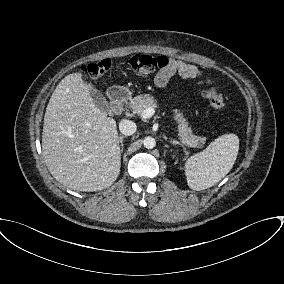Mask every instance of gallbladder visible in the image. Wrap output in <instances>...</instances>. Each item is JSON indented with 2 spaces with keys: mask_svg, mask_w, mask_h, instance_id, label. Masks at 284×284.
I'll return each instance as SVG.
<instances>
[{
  "mask_svg": "<svg viewBox=\"0 0 284 284\" xmlns=\"http://www.w3.org/2000/svg\"><path fill=\"white\" fill-rule=\"evenodd\" d=\"M89 91L96 107L105 111L106 113H109L110 112L109 104L106 98L103 96V94L99 90L91 86L89 87Z\"/></svg>",
  "mask_w": 284,
  "mask_h": 284,
  "instance_id": "obj_1",
  "label": "gallbladder"
}]
</instances>
